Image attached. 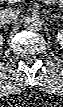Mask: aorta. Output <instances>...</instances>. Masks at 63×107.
I'll return each mask as SVG.
<instances>
[{
	"label": "aorta",
	"instance_id": "762f6f07",
	"mask_svg": "<svg viewBox=\"0 0 63 107\" xmlns=\"http://www.w3.org/2000/svg\"><path fill=\"white\" fill-rule=\"evenodd\" d=\"M24 28L32 32L40 30L41 28L40 18L35 15L27 16L24 20Z\"/></svg>",
	"mask_w": 63,
	"mask_h": 107
}]
</instances>
